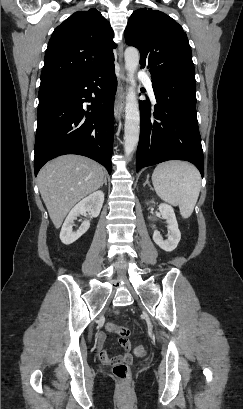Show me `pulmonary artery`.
Returning a JSON list of instances; mask_svg holds the SVG:
<instances>
[{
	"label": "pulmonary artery",
	"mask_w": 243,
	"mask_h": 409,
	"mask_svg": "<svg viewBox=\"0 0 243 409\" xmlns=\"http://www.w3.org/2000/svg\"><path fill=\"white\" fill-rule=\"evenodd\" d=\"M139 79L145 84L148 92L150 93V95H154V91H153V87H152V81H151V77L148 73H144V72H140L138 74Z\"/></svg>",
	"instance_id": "pulmonary-artery-1"
}]
</instances>
